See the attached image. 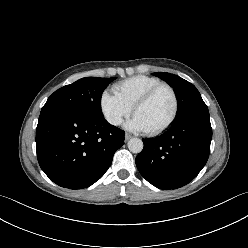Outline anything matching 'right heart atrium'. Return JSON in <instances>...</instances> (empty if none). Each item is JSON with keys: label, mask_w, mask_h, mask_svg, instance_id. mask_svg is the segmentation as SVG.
Returning <instances> with one entry per match:
<instances>
[{"label": "right heart atrium", "mask_w": 248, "mask_h": 248, "mask_svg": "<svg viewBox=\"0 0 248 248\" xmlns=\"http://www.w3.org/2000/svg\"><path fill=\"white\" fill-rule=\"evenodd\" d=\"M100 110L109 124L119 126L123 119L131 113L132 108L115 93L105 90L100 96Z\"/></svg>", "instance_id": "1"}]
</instances>
